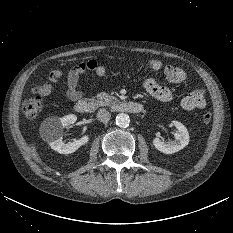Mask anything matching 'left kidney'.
Returning a JSON list of instances; mask_svg holds the SVG:
<instances>
[{"instance_id": "1", "label": "left kidney", "mask_w": 233, "mask_h": 233, "mask_svg": "<svg viewBox=\"0 0 233 233\" xmlns=\"http://www.w3.org/2000/svg\"><path fill=\"white\" fill-rule=\"evenodd\" d=\"M173 125L178 130V133L175 134V140L173 141H163L159 138L153 140V145L157 150L165 154H172L183 149L189 143V133L187 128L178 121H173Z\"/></svg>"}]
</instances>
